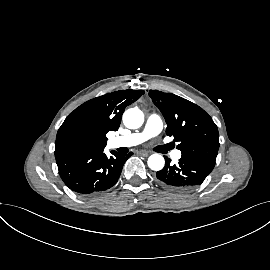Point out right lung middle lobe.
I'll return each instance as SVG.
<instances>
[{"label":"right lung middle lobe","instance_id":"dd1d6c3e","mask_svg":"<svg viewBox=\"0 0 270 270\" xmlns=\"http://www.w3.org/2000/svg\"><path fill=\"white\" fill-rule=\"evenodd\" d=\"M84 140V137L81 134L75 133L67 137L66 143L70 146H77L81 144Z\"/></svg>","mask_w":270,"mask_h":270}]
</instances>
